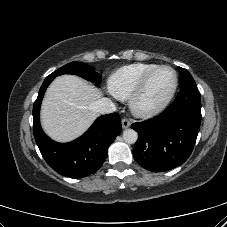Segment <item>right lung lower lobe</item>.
Instances as JSON below:
<instances>
[{"label": "right lung lower lobe", "instance_id": "obj_1", "mask_svg": "<svg viewBox=\"0 0 227 227\" xmlns=\"http://www.w3.org/2000/svg\"><path fill=\"white\" fill-rule=\"evenodd\" d=\"M54 78H46L33 106V133L39 150L48 165L59 174L70 178H82L97 171L107 157V150L121 131L117 113L99 117L78 139L69 143H57L42 130L39 120L44 93Z\"/></svg>", "mask_w": 227, "mask_h": 227}]
</instances>
